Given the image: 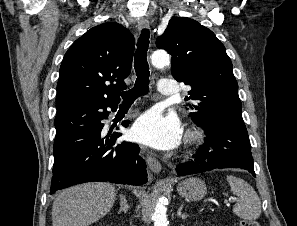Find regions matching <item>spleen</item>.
I'll list each match as a JSON object with an SVG mask.
<instances>
[{
    "mask_svg": "<svg viewBox=\"0 0 297 226\" xmlns=\"http://www.w3.org/2000/svg\"><path fill=\"white\" fill-rule=\"evenodd\" d=\"M227 181L234 195L239 197L234 213L245 220H256L261 214V201L254 188L245 180L229 175Z\"/></svg>",
    "mask_w": 297,
    "mask_h": 226,
    "instance_id": "obj_1",
    "label": "spleen"
}]
</instances>
